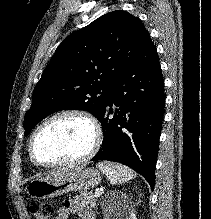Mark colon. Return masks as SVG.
<instances>
[{"mask_svg": "<svg viewBox=\"0 0 211 219\" xmlns=\"http://www.w3.org/2000/svg\"><path fill=\"white\" fill-rule=\"evenodd\" d=\"M28 211L34 219H51L54 207L50 202L31 201L28 204Z\"/></svg>", "mask_w": 211, "mask_h": 219, "instance_id": "colon-1", "label": "colon"}]
</instances>
